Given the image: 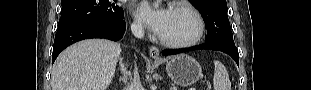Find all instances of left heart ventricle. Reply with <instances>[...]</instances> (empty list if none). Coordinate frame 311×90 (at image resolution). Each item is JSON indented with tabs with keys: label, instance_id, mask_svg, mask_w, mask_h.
<instances>
[{
	"label": "left heart ventricle",
	"instance_id": "1",
	"mask_svg": "<svg viewBox=\"0 0 311 90\" xmlns=\"http://www.w3.org/2000/svg\"><path fill=\"white\" fill-rule=\"evenodd\" d=\"M195 31L196 23L191 15L182 10L172 9L160 36L170 40H187Z\"/></svg>",
	"mask_w": 311,
	"mask_h": 90
}]
</instances>
